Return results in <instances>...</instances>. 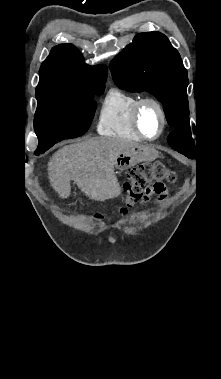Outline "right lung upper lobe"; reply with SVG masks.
I'll list each match as a JSON object with an SVG mask.
<instances>
[{
    "mask_svg": "<svg viewBox=\"0 0 221 379\" xmlns=\"http://www.w3.org/2000/svg\"><path fill=\"white\" fill-rule=\"evenodd\" d=\"M106 66H89L72 44L55 46L40 68L36 97L75 93L105 86Z\"/></svg>",
    "mask_w": 221,
    "mask_h": 379,
    "instance_id": "right-lung-upper-lobe-1",
    "label": "right lung upper lobe"
}]
</instances>
